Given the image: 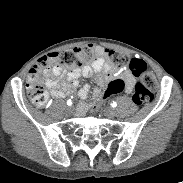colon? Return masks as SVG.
I'll list each match as a JSON object with an SVG mask.
<instances>
[{
    "mask_svg": "<svg viewBox=\"0 0 183 183\" xmlns=\"http://www.w3.org/2000/svg\"><path fill=\"white\" fill-rule=\"evenodd\" d=\"M103 55L106 57L109 64L121 69L128 66L133 74L138 77L139 81L135 86L132 99L135 104L142 105L149 102L153 98V94L158 87V83L154 74L148 70L146 63L141 59H130L126 54L101 49L95 45H85L68 49L62 52L48 54L40 58L37 64L30 70L27 83V94L31 102L36 106H44L47 102V93L40 79V74L44 70H48L52 65H57L61 68L78 67L82 63L90 61ZM127 90L126 81L122 77L113 78L110 80L104 95L101 96L100 102H97L89 110V116H94L101 104H106L107 99L115 94H123Z\"/></svg>",
    "mask_w": 183,
    "mask_h": 183,
    "instance_id": "obj_1",
    "label": "colon"
}]
</instances>
